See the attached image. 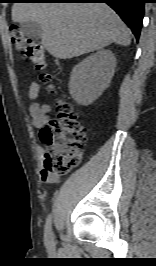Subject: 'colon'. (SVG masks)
<instances>
[{
    "instance_id": "obj_1",
    "label": "colon",
    "mask_w": 156,
    "mask_h": 266,
    "mask_svg": "<svg viewBox=\"0 0 156 266\" xmlns=\"http://www.w3.org/2000/svg\"><path fill=\"white\" fill-rule=\"evenodd\" d=\"M10 38L21 57L35 65L40 71V80L53 92L52 76L45 71L46 55L41 44L25 37L17 26L11 27ZM56 108L57 117L41 130V139L46 146L44 170L50 174L63 175L80 162L86 143V130L69 102L59 100Z\"/></svg>"
}]
</instances>
